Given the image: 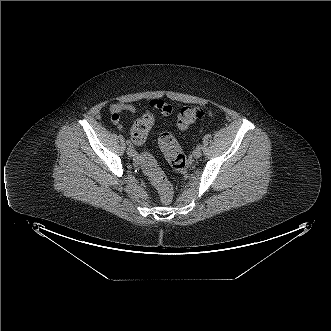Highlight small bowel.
<instances>
[{"label":"small bowel","mask_w":331,"mask_h":331,"mask_svg":"<svg viewBox=\"0 0 331 331\" xmlns=\"http://www.w3.org/2000/svg\"><path fill=\"white\" fill-rule=\"evenodd\" d=\"M149 105L151 108L160 111L165 116H169L173 112L172 105L162 99H158V98L152 99L150 100ZM124 112L135 113L136 107L124 102H116L111 104L109 107L111 121L119 129H123V126L120 122V115Z\"/></svg>","instance_id":"c3829d8e"}]
</instances>
